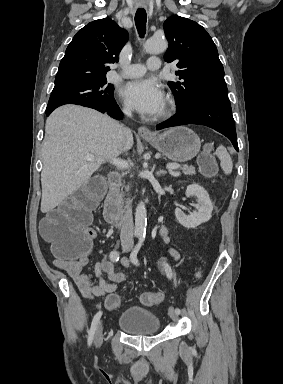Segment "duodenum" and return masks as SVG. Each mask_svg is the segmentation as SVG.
<instances>
[{"label":"duodenum","instance_id":"1","mask_svg":"<svg viewBox=\"0 0 283 384\" xmlns=\"http://www.w3.org/2000/svg\"><path fill=\"white\" fill-rule=\"evenodd\" d=\"M110 190L107 194L103 216L107 223L121 228L125 224V214L118 203V188L121 183V176L118 172H111L108 176Z\"/></svg>","mask_w":283,"mask_h":384}]
</instances>
